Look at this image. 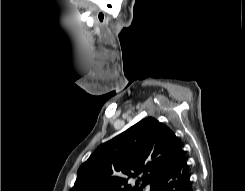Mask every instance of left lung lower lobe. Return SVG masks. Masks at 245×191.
I'll return each instance as SVG.
<instances>
[{
  "label": "left lung lower lobe",
  "instance_id": "obj_1",
  "mask_svg": "<svg viewBox=\"0 0 245 191\" xmlns=\"http://www.w3.org/2000/svg\"><path fill=\"white\" fill-rule=\"evenodd\" d=\"M155 191H193L189 166L183 150L179 153L174 163L165 171L154 188Z\"/></svg>",
  "mask_w": 245,
  "mask_h": 191
}]
</instances>
